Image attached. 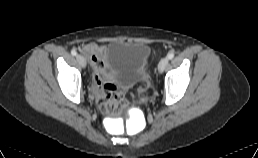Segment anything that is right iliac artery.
Instances as JSON below:
<instances>
[{
  "label": "right iliac artery",
  "instance_id": "obj_1",
  "mask_svg": "<svg viewBox=\"0 0 258 158\" xmlns=\"http://www.w3.org/2000/svg\"><path fill=\"white\" fill-rule=\"evenodd\" d=\"M71 54H72L73 56H76V55H77V51L73 49V50L71 51Z\"/></svg>",
  "mask_w": 258,
  "mask_h": 158
}]
</instances>
